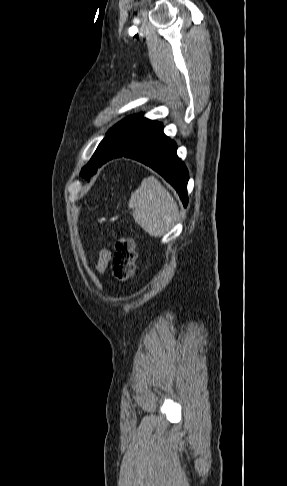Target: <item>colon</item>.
Returning a JSON list of instances; mask_svg holds the SVG:
<instances>
[{"mask_svg": "<svg viewBox=\"0 0 287 486\" xmlns=\"http://www.w3.org/2000/svg\"><path fill=\"white\" fill-rule=\"evenodd\" d=\"M113 274L119 283L127 282L135 271L136 246L130 237L118 236L113 244Z\"/></svg>", "mask_w": 287, "mask_h": 486, "instance_id": "colon-1", "label": "colon"}]
</instances>
